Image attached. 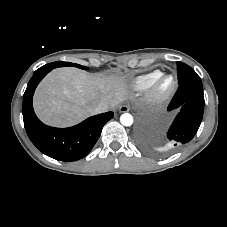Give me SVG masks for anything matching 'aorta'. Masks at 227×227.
I'll use <instances>...</instances> for the list:
<instances>
[{
	"label": "aorta",
	"instance_id": "1",
	"mask_svg": "<svg viewBox=\"0 0 227 227\" xmlns=\"http://www.w3.org/2000/svg\"><path fill=\"white\" fill-rule=\"evenodd\" d=\"M120 122L124 126H131L133 124V117L129 113H124L120 117Z\"/></svg>",
	"mask_w": 227,
	"mask_h": 227
}]
</instances>
